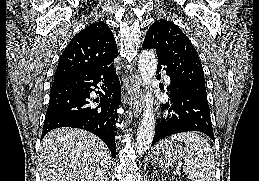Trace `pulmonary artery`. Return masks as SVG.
I'll return each instance as SVG.
<instances>
[{"instance_id":"1","label":"pulmonary artery","mask_w":259,"mask_h":181,"mask_svg":"<svg viewBox=\"0 0 259 181\" xmlns=\"http://www.w3.org/2000/svg\"><path fill=\"white\" fill-rule=\"evenodd\" d=\"M165 81H166L167 83H169V82H170V78H169L168 76H166V77H165Z\"/></svg>"}]
</instances>
